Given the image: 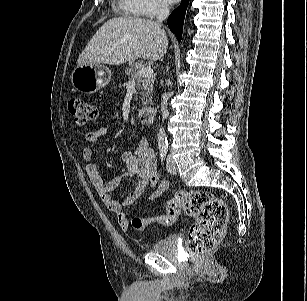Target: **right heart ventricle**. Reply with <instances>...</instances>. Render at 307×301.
I'll return each instance as SVG.
<instances>
[{"instance_id": "right-heart-ventricle-1", "label": "right heart ventricle", "mask_w": 307, "mask_h": 301, "mask_svg": "<svg viewBox=\"0 0 307 301\" xmlns=\"http://www.w3.org/2000/svg\"><path fill=\"white\" fill-rule=\"evenodd\" d=\"M118 8L125 14L138 17L140 14L136 10L134 0H117Z\"/></svg>"}]
</instances>
